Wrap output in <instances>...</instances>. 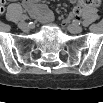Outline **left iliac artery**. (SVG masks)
Wrapping results in <instances>:
<instances>
[{
	"label": "left iliac artery",
	"mask_w": 103,
	"mask_h": 103,
	"mask_svg": "<svg viewBox=\"0 0 103 103\" xmlns=\"http://www.w3.org/2000/svg\"><path fill=\"white\" fill-rule=\"evenodd\" d=\"M89 24H90V23H89L88 21H86V20H84V21L82 22V25L85 26V27H87Z\"/></svg>",
	"instance_id": "left-iliac-artery-1"
}]
</instances>
